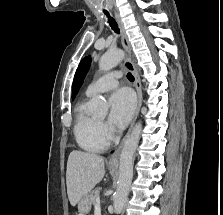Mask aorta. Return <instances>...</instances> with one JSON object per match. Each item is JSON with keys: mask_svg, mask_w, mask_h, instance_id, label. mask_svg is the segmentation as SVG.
Wrapping results in <instances>:
<instances>
[{"mask_svg": "<svg viewBox=\"0 0 223 215\" xmlns=\"http://www.w3.org/2000/svg\"><path fill=\"white\" fill-rule=\"evenodd\" d=\"M123 58L124 52H122V50H108V52L103 54L99 60V70L108 72V70H112V68L118 66ZM90 102L97 115H106L108 106L104 98L97 96V98H92ZM141 131L142 123L138 121V123L132 127L130 133H128L124 141V145L121 149L119 161V179L113 203L115 213H117V211H121L127 199L129 187L133 177V155L139 143Z\"/></svg>", "mask_w": 223, "mask_h": 215, "instance_id": "obj_1", "label": "aorta"}]
</instances>
